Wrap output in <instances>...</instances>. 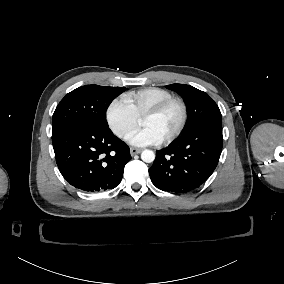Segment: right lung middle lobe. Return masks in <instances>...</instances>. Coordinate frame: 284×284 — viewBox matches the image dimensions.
I'll list each match as a JSON object with an SVG mask.
<instances>
[{
  "instance_id": "1",
  "label": "right lung middle lobe",
  "mask_w": 284,
  "mask_h": 284,
  "mask_svg": "<svg viewBox=\"0 0 284 284\" xmlns=\"http://www.w3.org/2000/svg\"><path fill=\"white\" fill-rule=\"evenodd\" d=\"M125 87L85 85L68 93L53 114L52 136L68 126L84 124L108 128L106 111Z\"/></svg>"
}]
</instances>
